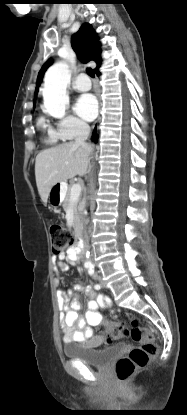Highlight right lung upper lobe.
I'll list each match as a JSON object with an SVG mask.
<instances>
[{"instance_id": "1", "label": "right lung upper lobe", "mask_w": 187, "mask_h": 415, "mask_svg": "<svg viewBox=\"0 0 187 415\" xmlns=\"http://www.w3.org/2000/svg\"><path fill=\"white\" fill-rule=\"evenodd\" d=\"M71 45L74 51L79 55L80 59L87 63L89 61H95L97 67L94 72L99 69L101 62L100 58V45L98 44V38L95 31L92 29L90 24L84 23L80 29L72 36ZM52 64L51 60H48L41 68L37 77V86L35 94L38 92V87L42 81L43 75L47 68ZM35 103V101H34Z\"/></svg>"}]
</instances>
